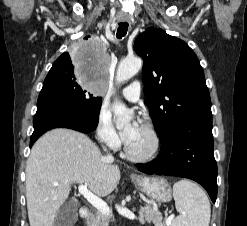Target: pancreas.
Here are the masks:
<instances>
[{
	"instance_id": "obj_1",
	"label": "pancreas",
	"mask_w": 247,
	"mask_h": 226,
	"mask_svg": "<svg viewBox=\"0 0 247 226\" xmlns=\"http://www.w3.org/2000/svg\"><path fill=\"white\" fill-rule=\"evenodd\" d=\"M140 222H158L160 221V216L153 209L149 207L142 208L139 212ZM110 217L109 215H104L101 212H95L91 214L87 220L88 226H109Z\"/></svg>"
}]
</instances>
